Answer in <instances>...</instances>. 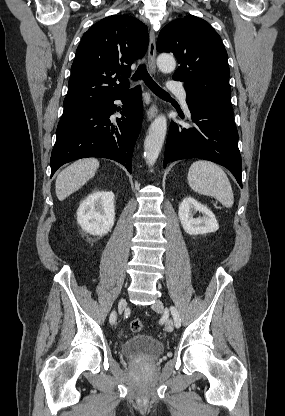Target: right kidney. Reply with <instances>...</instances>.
<instances>
[{
  "mask_svg": "<svg viewBox=\"0 0 285 416\" xmlns=\"http://www.w3.org/2000/svg\"><path fill=\"white\" fill-rule=\"evenodd\" d=\"M113 192H93L81 202L77 210V222L87 234L104 236L111 232L115 220Z\"/></svg>",
  "mask_w": 285,
  "mask_h": 416,
  "instance_id": "1",
  "label": "right kidney"
}]
</instances>
